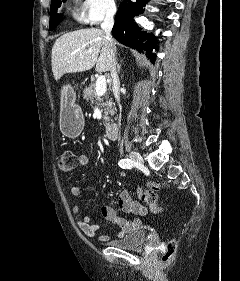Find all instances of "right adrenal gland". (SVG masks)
<instances>
[{
    "label": "right adrenal gland",
    "mask_w": 240,
    "mask_h": 281,
    "mask_svg": "<svg viewBox=\"0 0 240 281\" xmlns=\"http://www.w3.org/2000/svg\"><path fill=\"white\" fill-rule=\"evenodd\" d=\"M120 68H121V66L117 63L118 72H120Z\"/></svg>",
    "instance_id": "2a0ac1e0"
}]
</instances>
